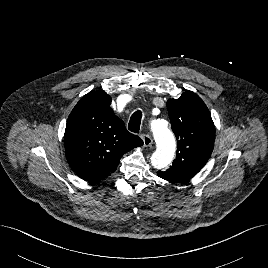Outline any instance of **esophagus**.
Wrapping results in <instances>:
<instances>
[{
    "instance_id": "1",
    "label": "esophagus",
    "mask_w": 268,
    "mask_h": 268,
    "mask_svg": "<svg viewBox=\"0 0 268 268\" xmlns=\"http://www.w3.org/2000/svg\"><path fill=\"white\" fill-rule=\"evenodd\" d=\"M142 140H143V143H144L145 147H149L153 143L152 138L147 134L142 135Z\"/></svg>"
}]
</instances>
